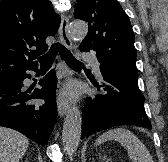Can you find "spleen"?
<instances>
[{"label": "spleen", "mask_w": 168, "mask_h": 162, "mask_svg": "<svg viewBox=\"0 0 168 162\" xmlns=\"http://www.w3.org/2000/svg\"><path fill=\"white\" fill-rule=\"evenodd\" d=\"M109 140L118 141L127 150L128 156L133 162H154L146 146L127 129H110L100 135L95 144L100 145ZM103 160L106 158L104 157ZM108 161L109 159L106 162Z\"/></svg>", "instance_id": "spleen-1"}]
</instances>
